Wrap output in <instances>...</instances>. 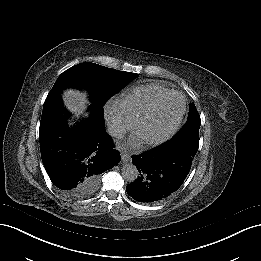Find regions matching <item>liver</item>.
Here are the masks:
<instances>
[{"instance_id":"1","label":"liver","mask_w":261,"mask_h":261,"mask_svg":"<svg viewBox=\"0 0 261 261\" xmlns=\"http://www.w3.org/2000/svg\"><path fill=\"white\" fill-rule=\"evenodd\" d=\"M63 102L66 108L71 111L75 117L79 118L80 115L87 116L85 113L87 105L90 104V101L87 99L86 91H79L75 89L65 90L63 93ZM70 124H73L71 122Z\"/></svg>"}]
</instances>
